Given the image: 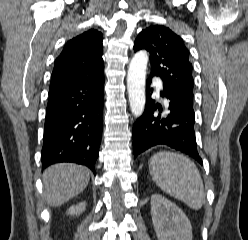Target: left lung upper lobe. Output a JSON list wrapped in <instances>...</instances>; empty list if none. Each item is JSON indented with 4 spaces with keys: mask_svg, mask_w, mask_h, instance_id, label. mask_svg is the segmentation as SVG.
Instances as JSON below:
<instances>
[{
    "mask_svg": "<svg viewBox=\"0 0 248 240\" xmlns=\"http://www.w3.org/2000/svg\"><path fill=\"white\" fill-rule=\"evenodd\" d=\"M141 49L150 54V77H160L165 89L193 103V67L182 38L165 26L152 25L142 30L134 42V51Z\"/></svg>",
    "mask_w": 248,
    "mask_h": 240,
    "instance_id": "5c2ea615",
    "label": "left lung upper lobe"
}]
</instances>
